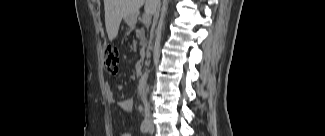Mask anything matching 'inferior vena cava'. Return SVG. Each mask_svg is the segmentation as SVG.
Instances as JSON below:
<instances>
[{
	"label": "inferior vena cava",
	"instance_id": "inferior-vena-cava-1",
	"mask_svg": "<svg viewBox=\"0 0 325 136\" xmlns=\"http://www.w3.org/2000/svg\"><path fill=\"white\" fill-rule=\"evenodd\" d=\"M154 8H155V15H154V23H157L160 11V0H154Z\"/></svg>",
	"mask_w": 325,
	"mask_h": 136
}]
</instances>
